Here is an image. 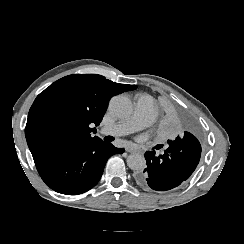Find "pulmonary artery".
Returning a JSON list of instances; mask_svg holds the SVG:
<instances>
[{
  "mask_svg": "<svg viewBox=\"0 0 244 244\" xmlns=\"http://www.w3.org/2000/svg\"><path fill=\"white\" fill-rule=\"evenodd\" d=\"M137 105L130 119L119 121L110 128H102L100 132L103 134L110 133L112 136H123L133 133L150 123L157 113V105L152 95L142 93L137 98Z\"/></svg>",
  "mask_w": 244,
  "mask_h": 244,
  "instance_id": "1",
  "label": "pulmonary artery"
}]
</instances>
